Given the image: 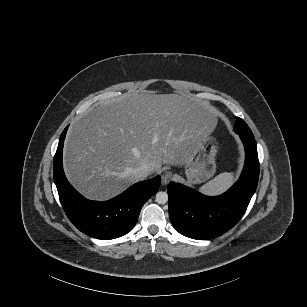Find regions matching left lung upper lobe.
<instances>
[{
    "label": "left lung upper lobe",
    "instance_id": "obj_1",
    "mask_svg": "<svg viewBox=\"0 0 307 307\" xmlns=\"http://www.w3.org/2000/svg\"><path fill=\"white\" fill-rule=\"evenodd\" d=\"M234 131L236 133H244V134H249V135L252 134L248 125L244 122V120H242L239 117H237L236 123L234 125Z\"/></svg>",
    "mask_w": 307,
    "mask_h": 307
}]
</instances>
